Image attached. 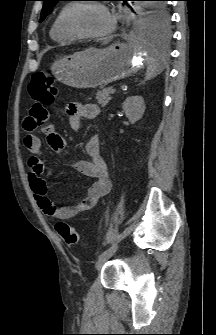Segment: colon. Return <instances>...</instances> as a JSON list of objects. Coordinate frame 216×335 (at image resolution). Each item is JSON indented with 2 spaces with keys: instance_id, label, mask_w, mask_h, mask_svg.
Masks as SVG:
<instances>
[{
  "instance_id": "1",
  "label": "colon",
  "mask_w": 216,
  "mask_h": 335,
  "mask_svg": "<svg viewBox=\"0 0 216 335\" xmlns=\"http://www.w3.org/2000/svg\"><path fill=\"white\" fill-rule=\"evenodd\" d=\"M28 90L35 104H43L44 108H49L57 97V91L52 84V78L45 72H36L32 75ZM56 231L67 245L73 246L80 243L79 233L66 222H58L56 224Z\"/></svg>"
}]
</instances>
